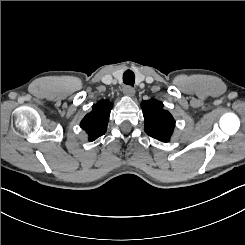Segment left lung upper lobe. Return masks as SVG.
Returning a JSON list of instances; mask_svg holds the SVG:
<instances>
[{
    "label": "left lung upper lobe",
    "mask_w": 245,
    "mask_h": 245,
    "mask_svg": "<svg viewBox=\"0 0 245 245\" xmlns=\"http://www.w3.org/2000/svg\"><path fill=\"white\" fill-rule=\"evenodd\" d=\"M163 106V103L156 99L141 103L145 132L159 141L168 142L173 133L175 121L172 115L163 109Z\"/></svg>",
    "instance_id": "1"
}]
</instances>
